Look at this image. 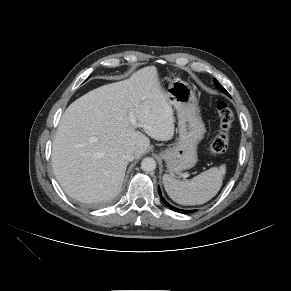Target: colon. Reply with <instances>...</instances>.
I'll return each instance as SVG.
<instances>
[{
	"mask_svg": "<svg viewBox=\"0 0 291 291\" xmlns=\"http://www.w3.org/2000/svg\"><path fill=\"white\" fill-rule=\"evenodd\" d=\"M219 116V131L210 144V152L214 155L222 154L227 151L229 146L230 130L233 125V112L225 102L217 104Z\"/></svg>",
	"mask_w": 291,
	"mask_h": 291,
	"instance_id": "obj_1",
	"label": "colon"
}]
</instances>
